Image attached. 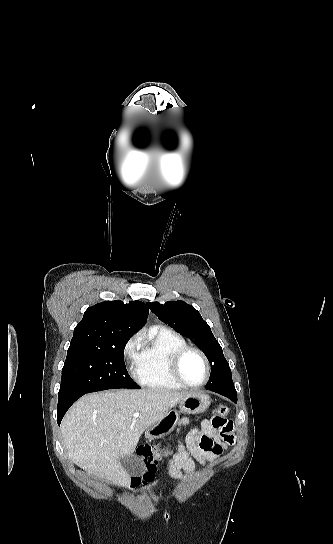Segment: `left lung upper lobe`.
Here are the masks:
<instances>
[{
  "label": "left lung upper lobe",
  "mask_w": 333,
  "mask_h": 544,
  "mask_svg": "<svg viewBox=\"0 0 333 544\" xmlns=\"http://www.w3.org/2000/svg\"><path fill=\"white\" fill-rule=\"evenodd\" d=\"M147 306L161 321L191 339L204 352L211 364V375L206 389L236 392L231 369L222 348L198 310L180 300L168 301L165 304L148 302Z\"/></svg>",
  "instance_id": "left-lung-upper-lobe-1"
}]
</instances>
